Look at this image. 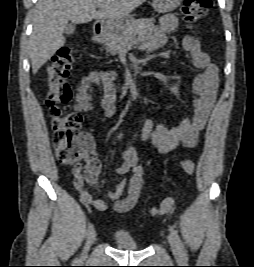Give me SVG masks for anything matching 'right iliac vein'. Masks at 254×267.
<instances>
[{
	"instance_id": "obj_1",
	"label": "right iliac vein",
	"mask_w": 254,
	"mask_h": 267,
	"mask_svg": "<svg viewBox=\"0 0 254 267\" xmlns=\"http://www.w3.org/2000/svg\"><path fill=\"white\" fill-rule=\"evenodd\" d=\"M96 231L95 230H92L88 237H87V240L85 242V245H84V248H83V251H82V254H81V260H85L87 258V255H88V252H89V249L90 247L92 246V244L95 242L96 240Z\"/></svg>"
}]
</instances>
